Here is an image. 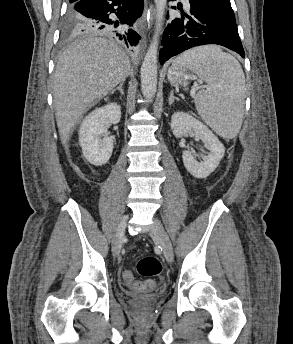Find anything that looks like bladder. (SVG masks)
Returning <instances> with one entry per match:
<instances>
[{"mask_svg": "<svg viewBox=\"0 0 293 344\" xmlns=\"http://www.w3.org/2000/svg\"><path fill=\"white\" fill-rule=\"evenodd\" d=\"M126 295L130 299L138 300V301H142L146 303H153L159 298L158 295H138L133 292H128Z\"/></svg>", "mask_w": 293, "mask_h": 344, "instance_id": "bladder-1", "label": "bladder"}]
</instances>
